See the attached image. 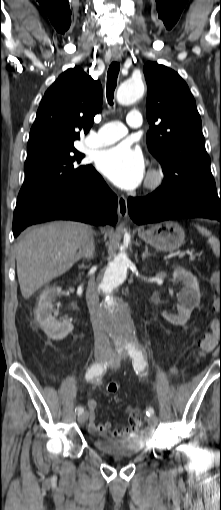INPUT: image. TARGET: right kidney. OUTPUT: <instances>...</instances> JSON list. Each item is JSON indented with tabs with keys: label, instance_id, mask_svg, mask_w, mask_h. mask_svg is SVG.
<instances>
[{
	"label": "right kidney",
	"instance_id": "obj_1",
	"mask_svg": "<svg viewBox=\"0 0 221 510\" xmlns=\"http://www.w3.org/2000/svg\"><path fill=\"white\" fill-rule=\"evenodd\" d=\"M61 288L57 286L45 289L40 297L35 310L36 319L45 334L53 340H62L73 330L70 321H58L52 316V301L60 295Z\"/></svg>",
	"mask_w": 221,
	"mask_h": 510
}]
</instances>
